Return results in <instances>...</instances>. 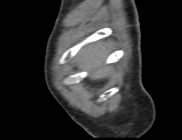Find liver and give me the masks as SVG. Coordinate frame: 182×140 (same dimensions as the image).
<instances>
[{
  "label": "liver",
  "instance_id": "obj_1",
  "mask_svg": "<svg viewBox=\"0 0 182 140\" xmlns=\"http://www.w3.org/2000/svg\"><path fill=\"white\" fill-rule=\"evenodd\" d=\"M107 57L106 48L103 44L97 43L83 49L77 58L80 66L91 71V79L98 80L106 77L108 68L102 67Z\"/></svg>",
  "mask_w": 182,
  "mask_h": 140
}]
</instances>
